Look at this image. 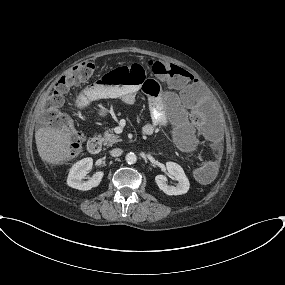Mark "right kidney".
Listing matches in <instances>:
<instances>
[{
  "instance_id": "ca27d5eb",
  "label": "right kidney",
  "mask_w": 285,
  "mask_h": 285,
  "mask_svg": "<svg viewBox=\"0 0 285 285\" xmlns=\"http://www.w3.org/2000/svg\"><path fill=\"white\" fill-rule=\"evenodd\" d=\"M92 165L93 159L91 157L76 162L69 171L67 178L68 186L82 191L91 190L93 187H97L104 175L102 171L96 172L87 181L82 180L92 168Z\"/></svg>"
}]
</instances>
